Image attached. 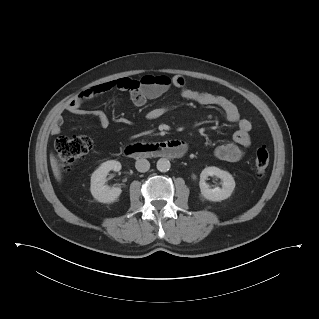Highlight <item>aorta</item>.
I'll return each instance as SVG.
<instances>
[{
  "label": "aorta",
  "instance_id": "762f6f07",
  "mask_svg": "<svg viewBox=\"0 0 319 319\" xmlns=\"http://www.w3.org/2000/svg\"><path fill=\"white\" fill-rule=\"evenodd\" d=\"M171 167V164L168 159L161 158L157 161V169L160 172H167Z\"/></svg>",
  "mask_w": 319,
  "mask_h": 319
}]
</instances>
